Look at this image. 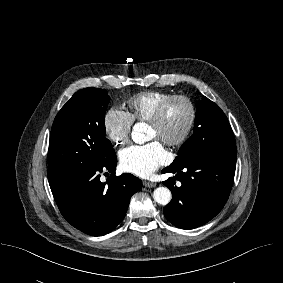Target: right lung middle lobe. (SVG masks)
<instances>
[{"label":"right lung middle lobe","mask_w":283,"mask_h":283,"mask_svg":"<svg viewBox=\"0 0 283 283\" xmlns=\"http://www.w3.org/2000/svg\"><path fill=\"white\" fill-rule=\"evenodd\" d=\"M109 101L107 91L85 88L76 92L59 111L49 142V183L99 166L115 153L105 137Z\"/></svg>","instance_id":"obj_1"}]
</instances>
